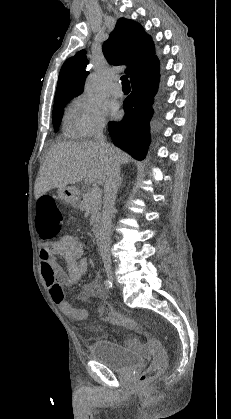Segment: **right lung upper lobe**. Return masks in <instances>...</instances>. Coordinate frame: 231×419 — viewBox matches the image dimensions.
<instances>
[{"label": "right lung upper lobe", "mask_w": 231, "mask_h": 419, "mask_svg": "<svg viewBox=\"0 0 231 419\" xmlns=\"http://www.w3.org/2000/svg\"><path fill=\"white\" fill-rule=\"evenodd\" d=\"M104 56L112 65H127L125 73L133 77L158 58L154 43L143 27L137 22L120 18L115 29L102 46ZM88 63L84 50L67 59L60 71L55 102L73 98L82 93L84 80L88 75Z\"/></svg>", "instance_id": "1"}]
</instances>
